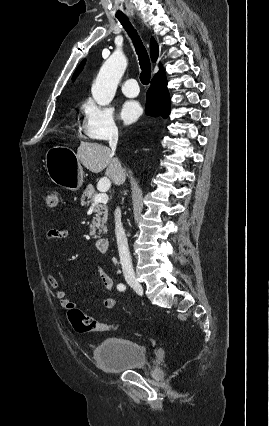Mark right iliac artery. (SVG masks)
<instances>
[{
  "mask_svg": "<svg viewBox=\"0 0 269 426\" xmlns=\"http://www.w3.org/2000/svg\"><path fill=\"white\" fill-rule=\"evenodd\" d=\"M117 288H118L119 290H123V289H125V286H124L123 284H119V285L117 286Z\"/></svg>",
  "mask_w": 269,
  "mask_h": 426,
  "instance_id": "1",
  "label": "right iliac artery"
}]
</instances>
